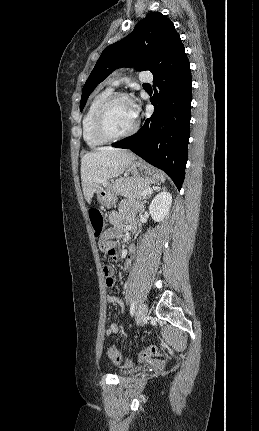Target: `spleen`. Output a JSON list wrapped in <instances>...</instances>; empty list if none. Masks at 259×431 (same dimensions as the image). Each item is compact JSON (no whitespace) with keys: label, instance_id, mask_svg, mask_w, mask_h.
I'll list each match as a JSON object with an SVG mask.
<instances>
[{"label":"spleen","instance_id":"1","mask_svg":"<svg viewBox=\"0 0 259 431\" xmlns=\"http://www.w3.org/2000/svg\"><path fill=\"white\" fill-rule=\"evenodd\" d=\"M160 180H161V182L165 181V175L162 172H160Z\"/></svg>","mask_w":259,"mask_h":431}]
</instances>
